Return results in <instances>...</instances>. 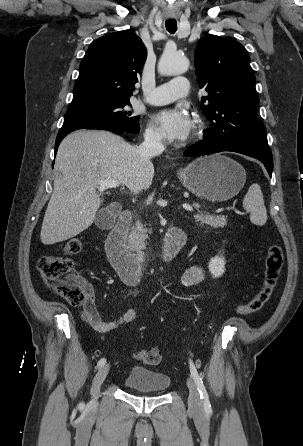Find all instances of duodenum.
Returning <instances> with one entry per match:
<instances>
[{
  "label": "duodenum",
  "mask_w": 303,
  "mask_h": 446,
  "mask_svg": "<svg viewBox=\"0 0 303 446\" xmlns=\"http://www.w3.org/2000/svg\"><path fill=\"white\" fill-rule=\"evenodd\" d=\"M131 222V211H122L105 241V251L110 264L119 276L126 283L136 284L140 280L142 263L125 247V238ZM185 244V233L179 228H172L167 232L159 250L158 262L164 266L170 264Z\"/></svg>",
  "instance_id": "duodenum-1"
}]
</instances>
